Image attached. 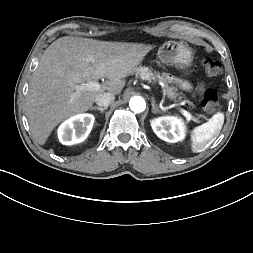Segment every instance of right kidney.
I'll list each match as a JSON object with an SVG mask.
<instances>
[{
	"label": "right kidney",
	"instance_id": "right-kidney-1",
	"mask_svg": "<svg viewBox=\"0 0 253 253\" xmlns=\"http://www.w3.org/2000/svg\"><path fill=\"white\" fill-rule=\"evenodd\" d=\"M95 117L92 114H80L63 122L58 129L62 144L73 145L84 141L89 135Z\"/></svg>",
	"mask_w": 253,
	"mask_h": 253
}]
</instances>
